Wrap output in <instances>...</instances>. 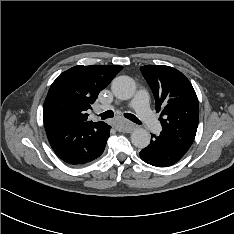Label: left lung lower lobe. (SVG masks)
<instances>
[{
	"label": "left lung lower lobe",
	"mask_w": 234,
	"mask_h": 234,
	"mask_svg": "<svg viewBox=\"0 0 234 234\" xmlns=\"http://www.w3.org/2000/svg\"><path fill=\"white\" fill-rule=\"evenodd\" d=\"M150 144L140 153L141 159L156 167H168L178 162L187 152L163 133L152 135Z\"/></svg>",
	"instance_id": "1"
}]
</instances>
